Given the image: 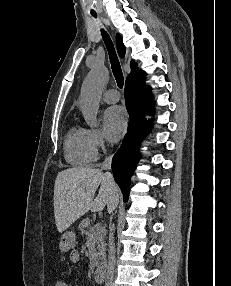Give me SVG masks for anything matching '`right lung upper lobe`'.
<instances>
[{
	"label": "right lung upper lobe",
	"mask_w": 231,
	"mask_h": 286,
	"mask_svg": "<svg viewBox=\"0 0 231 286\" xmlns=\"http://www.w3.org/2000/svg\"><path fill=\"white\" fill-rule=\"evenodd\" d=\"M116 41H117L118 53H119L120 57L123 58L124 55H125L126 49H125V46H124V44L122 42V39H121V37L119 35H117ZM130 66H131V74L127 77V80L132 78V77H134V76H136V75H139V74L143 73L142 70H138L136 68V64L134 63V61H131Z\"/></svg>",
	"instance_id": "cb5924a9"
}]
</instances>
